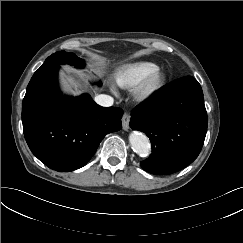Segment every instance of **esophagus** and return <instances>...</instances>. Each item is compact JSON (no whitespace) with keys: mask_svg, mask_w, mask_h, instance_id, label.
I'll use <instances>...</instances> for the list:
<instances>
[{"mask_svg":"<svg viewBox=\"0 0 243 243\" xmlns=\"http://www.w3.org/2000/svg\"><path fill=\"white\" fill-rule=\"evenodd\" d=\"M130 122V114L128 112H124L122 117V126L124 130H128Z\"/></svg>","mask_w":243,"mask_h":243,"instance_id":"34e87169","label":"esophagus"}]
</instances>
